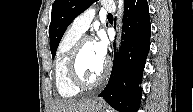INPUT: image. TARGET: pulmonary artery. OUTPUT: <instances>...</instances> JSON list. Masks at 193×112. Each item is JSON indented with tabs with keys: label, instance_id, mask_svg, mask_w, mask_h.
<instances>
[{
	"label": "pulmonary artery",
	"instance_id": "1",
	"mask_svg": "<svg viewBox=\"0 0 193 112\" xmlns=\"http://www.w3.org/2000/svg\"><path fill=\"white\" fill-rule=\"evenodd\" d=\"M102 7L104 10L109 13L115 11V6L112 2L106 1L102 3ZM95 16V8L91 7L85 10L83 13L78 15L72 22L71 28L78 33L83 34L88 28L90 23L92 22Z\"/></svg>",
	"mask_w": 193,
	"mask_h": 112
}]
</instances>
